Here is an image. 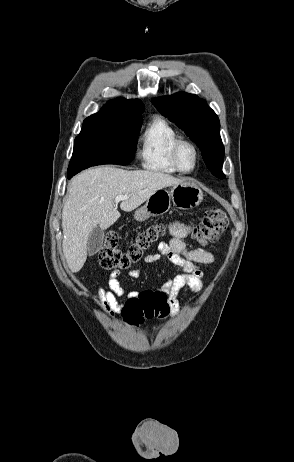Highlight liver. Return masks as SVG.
Segmentation results:
<instances>
[{"instance_id": "obj_1", "label": "liver", "mask_w": 294, "mask_h": 462, "mask_svg": "<svg viewBox=\"0 0 294 462\" xmlns=\"http://www.w3.org/2000/svg\"><path fill=\"white\" fill-rule=\"evenodd\" d=\"M183 180L158 172L127 171L111 166L85 170L68 185L67 200L62 211L63 253L72 272H78L87 258V241L92 230L112 226L121 216L114 200H122L121 210L130 212L156 191L182 183Z\"/></svg>"}]
</instances>
